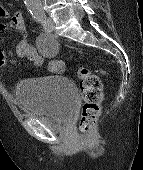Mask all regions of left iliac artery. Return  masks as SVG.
<instances>
[{"mask_svg": "<svg viewBox=\"0 0 143 170\" xmlns=\"http://www.w3.org/2000/svg\"><path fill=\"white\" fill-rule=\"evenodd\" d=\"M36 20L41 23L44 28L47 26V18L44 14L36 15Z\"/></svg>", "mask_w": 143, "mask_h": 170, "instance_id": "obj_1", "label": "left iliac artery"}]
</instances>
